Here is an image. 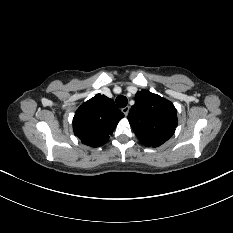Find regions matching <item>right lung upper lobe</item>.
Returning a JSON list of instances; mask_svg holds the SVG:
<instances>
[{
	"instance_id": "1",
	"label": "right lung upper lobe",
	"mask_w": 233,
	"mask_h": 233,
	"mask_svg": "<svg viewBox=\"0 0 233 233\" xmlns=\"http://www.w3.org/2000/svg\"><path fill=\"white\" fill-rule=\"evenodd\" d=\"M123 117L112 99L97 94L77 109L73 131L83 144L99 147L108 141Z\"/></svg>"
}]
</instances>
